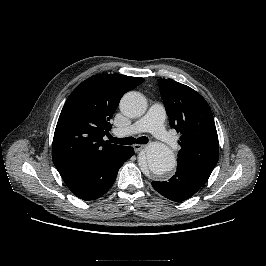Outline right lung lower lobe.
I'll list each match as a JSON object with an SVG mask.
<instances>
[{
    "label": "right lung lower lobe",
    "mask_w": 266,
    "mask_h": 266,
    "mask_svg": "<svg viewBox=\"0 0 266 266\" xmlns=\"http://www.w3.org/2000/svg\"><path fill=\"white\" fill-rule=\"evenodd\" d=\"M134 154L130 146L92 161L59 171L71 192L89 201L101 197L113 185L121 165Z\"/></svg>",
    "instance_id": "obj_1"
}]
</instances>
